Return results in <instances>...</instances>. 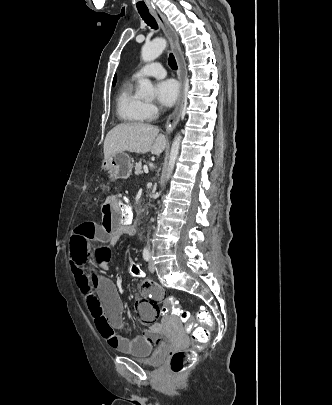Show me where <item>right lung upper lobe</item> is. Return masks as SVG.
<instances>
[{
	"label": "right lung upper lobe",
	"mask_w": 332,
	"mask_h": 405,
	"mask_svg": "<svg viewBox=\"0 0 332 405\" xmlns=\"http://www.w3.org/2000/svg\"><path fill=\"white\" fill-rule=\"evenodd\" d=\"M115 81H116V76L114 77L113 84H115Z\"/></svg>",
	"instance_id": "1"
}]
</instances>
